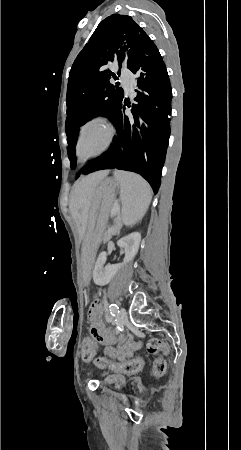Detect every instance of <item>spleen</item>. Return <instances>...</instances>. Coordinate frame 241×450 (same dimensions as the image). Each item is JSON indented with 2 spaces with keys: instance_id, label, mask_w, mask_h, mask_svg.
I'll return each mask as SVG.
<instances>
[{
  "instance_id": "obj_1",
  "label": "spleen",
  "mask_w": 241,
  "mask_h": 450,
  "mask_svg": "<svg viewBox=\"0 0 241 450\" xmlns=\"http://www.w3.org/2000/svg\"><path fill=\"white\" fill-rule=\"evenodd\" d=\"M114 178L120 186L122 200V222L133 226L145 216L152 200V190L141 176L133 172H114Z\"/></svg>"
}]
</instances>
